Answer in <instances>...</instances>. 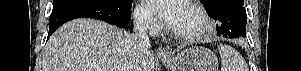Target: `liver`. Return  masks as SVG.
<instances>
[{
    "label": "liver",
    "mask_w": 301,
    "mask_h": 71,
    "mask_svg": "<svg viewBox=\"0 0 301 71\" xmlns=\"http://www.w3.org/2000/svg\"><path fill=\"white\" fill-rule=\"evenodd\" d=\"M43 71H154V56L135 34L80 18L49 38Z\"/></svg>",
    "instance_id": "1"
}]
</instances>
